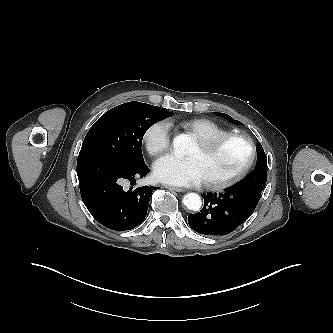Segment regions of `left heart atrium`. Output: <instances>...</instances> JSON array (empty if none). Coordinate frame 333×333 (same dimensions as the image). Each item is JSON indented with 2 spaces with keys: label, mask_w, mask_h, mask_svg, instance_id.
<instances>
[{
  "label": "left heart atrium",
  "mask_w": 333,
  "mask_h": 333,
  "mask_svg": "<svg viewBox=\"0 0 333 333\" xmlns=\"http://www.w3.org/2000/svg\"><path fill=\"white\" fill-rule=\"evenodd\" d=\"M154 175L164 183L178 186H192L203 181L195 159L180 158L172 154L165 155L155 162Z\"/></svg>",
  "instance_id": "obj_1"
}]
</instances>
